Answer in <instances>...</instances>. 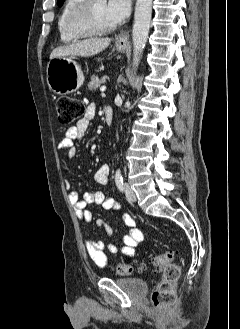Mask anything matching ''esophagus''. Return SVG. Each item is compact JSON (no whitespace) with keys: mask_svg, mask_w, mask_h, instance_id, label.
<instances>
[{"mask_svg":"<svg viewBox=\"0 0 240 329\" xmlns=\"http://www.w3.org/2000/svg\"><path fill=\"white\" fill-rule=\"evenodd\" d=\"M128 40H129L128 33L121 32L120 34H118L116 36V44L119 47H125L127 45V43H128Z\"/></svg>","mask_w":240,"mask_h":329,"instance_id":"obj_1","label":"esophagus"}]
</instances>
